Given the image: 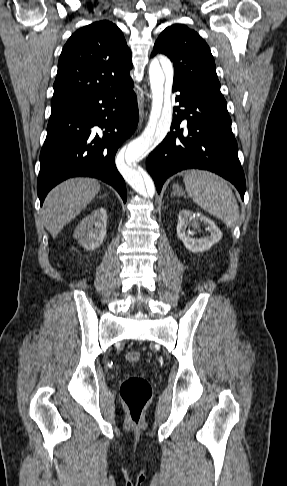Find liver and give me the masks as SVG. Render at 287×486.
<instances>
[{
  "instance_id": "liver-1",
  "label": "liver",
  "mask_w": 287,
  "mask_h": 486,
  "mask_svg": "<svg viewBox=\"0 0 287 486\" xmlns=\"http://www.w3.org/2000/svg\"><path fill=\"white\" fill-rule=\"evenodd\" d=\"M99 191L97 180L81 177L68 179L50 191L44 201L42 218L45 228L54 239Z\"/></svg>"
}]
</instances>
